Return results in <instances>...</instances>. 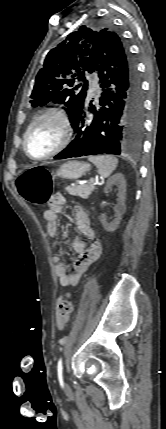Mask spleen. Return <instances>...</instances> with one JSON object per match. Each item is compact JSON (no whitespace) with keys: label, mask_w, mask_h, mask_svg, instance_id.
Segmentation results:
<instances>
[{"label":"spleen","mask_w":166,"mask_h":429,"mask_svg":"<svg viewBox=\"0 0 166 429\" xmlns=\"http://www.w3.org/2000/svg\"><path fill=\"white\" fill-rule=\"evenodd\" d=\"M88 160L98 169L100 176L106 178L116 169L118 160L111 155L89 156Z\"/></svg>","instance_id":"3e777b00"}]
</instances>
